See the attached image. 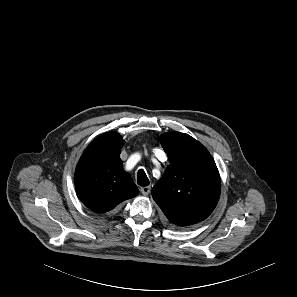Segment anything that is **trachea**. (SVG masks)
<instances>
[{
	"label": "trachea",
	"mask_w": 297,
	"mask_h": 297,
	"mask_svg": "<svg viewBox=\"0 0 297 297\" xmlns=\"http://www.w3.org/2000/svg\"><path fill=\"white\" fill-rule=\"evenodd\" d=\"M137 183L140 186H147L149 185L148 177L144 170L140 169L137 173Z\"/></svg>",
	"instance_id": "1"
}]
</instances>
